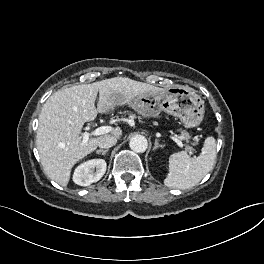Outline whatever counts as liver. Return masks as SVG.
Masks as SVG:
<instances>
[{"label":"liver","instance_id":"6515ba94","mask_svg":"<svg viewBox=\"0 0 264 264\" xmlns=\"http://www.w3.org/2000/svg\"><path fill=\"white\" fill-rule=\"evenodd\" d=\"M164 89L130 78L115 77L92 84L75 85L52 94L39 115L36 146L45 174L61 186H67L71 169L79 160L92 153L100 139H89L82 145L81 129L94 120L97 112L105 113L149 92ZM99 93L98 108L95 100ZM122 130L111 135L120 138Z\"/></svg>","mask_w":264,"mask_h":264}]
</instances>
